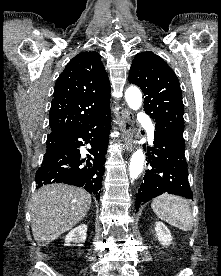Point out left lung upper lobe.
Segmentation results:
<instances>
[{"label": "left lung upper lobe", "instance_id": "left-lung-upper-lobe-1", "mask_svg": "<svg viewBox=\"0 0 221 276\" xmlns=\"http://www.w3.org/2000/svg\"><path fill=\"white\" fill-rule=\"evenodd\" d=\"M129 82L145 94L144 110L155 120V130L174 135L184 143L182 91L167 63L153 52H141L132 61Z\"/></svg>", "mask_w": 221, "mask_h": 276}]
</instances>
